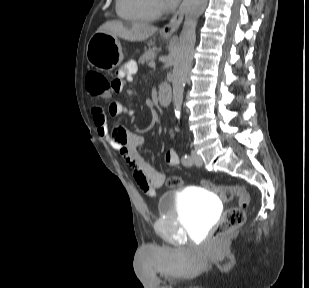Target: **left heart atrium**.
<instances>
[{"instance_id":"39dd6f15","label":"left heart atrium","mask_w":309,"mask_h":288,"mask_svg":"<svg viewBox=\"0 0 309 288\" xmlns=\"http://www.w3.org/2000/svg\"><path fill=\"white\" fill-rule=\"evenodd\" d=\"M180 0H167L170 5H176Z\"/></svg>"}]
</instances>
